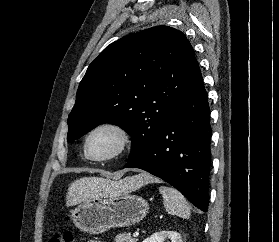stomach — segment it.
<instances>
[{"label": "stomach", "instance_id": "stomach-1", "mask_svg": "<svg viewBox=\"0 0 279 242\" xmlns=\"http://www.w3.org/2000/svg\"><path fill=\"white\" fill-rule=\"evenodd\" d=\"M148 211L149 204L144 198L118 187L107 196L83 201L71 211V217L79 230L101 234L111 228L135 225Z\"/></svg>", "mask_w": 279, "mask_h": 242}]
</instances>
